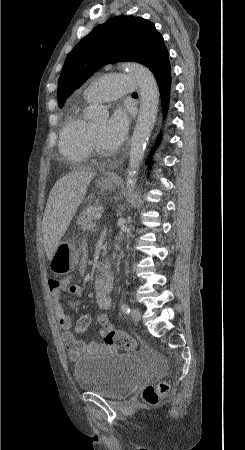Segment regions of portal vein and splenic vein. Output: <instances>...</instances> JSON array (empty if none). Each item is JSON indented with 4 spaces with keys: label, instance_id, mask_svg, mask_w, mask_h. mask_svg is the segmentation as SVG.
<instances>
[{
    "label": "portal vein and splenic vein",
    "instance_id": "portal-vein-and-splenic-vein-1",
    "mask_svg": "<svg viewBox=\"0 0 245 450\" xmlns=\"http://www.w3.org/2000/svg\"><path fill=\"white\" fill-rule=\"evenodd\" d=\"M102 217V213L101 212H97L95 214V220H99Z\"/></svg>",
    "mask_w": 245,
    "mask_h": 450
}]
</instances>
